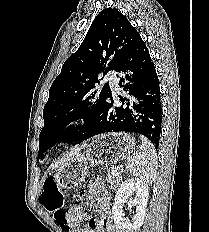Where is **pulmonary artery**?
Wrapping results in <instances>:
<instances>
[{
  "instance_id": "pulmonary-artery-1",
  "label": "pulmonary artery",
  "mask_w": 209,
  "mask_h": 232,
  "mask_svg": "<svg viewBox=\"0 0 209 232\" xmlns=\"http://www.w3.org/2000/svg\"><path fill=\"white\" fill-rule=\"evenodd\" d=\"M105 81H108L112 89L117 90L119 88L118 80L114 72L108 73L105 78Z\"/></svg>"
}]
</instances>
